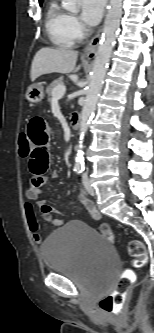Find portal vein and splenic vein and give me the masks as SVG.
Instances as JSON below:
<instances>
[{"label": "portal vein and splenic vein", "instance_id": "1", "mask_svg": "<svg viewBox=\"0 0 154 333\" xmlns=\"http://www.w3.org/2000/svg\"><path fill=\"white\" fill-rule=\"evenodd\" d=\"M65 92H66L65 85H58L53 89L52 97L57 98V99H61L64 96Z\"/></svg>", "mask_w": 154, "mask_h": 333}]
</instances>
